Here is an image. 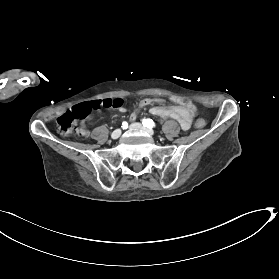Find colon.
<instances>
[{
	"mask_svg": "<svg viewBox=\"0 0 279 279\" xmlns=\"http://www.w3.org/2000/svg\"><path fill=\"white\" fill-rule=\"evenodd\" d=\"M180 103L191 113L198 112V105L192 99L188 97H178ZM123 104L121 98H105L94 100L91 102H83L75 105L70 110L60 115L57 119L58 130L61 134L69 135L74 132H78L79 128L77 123L84 119V117L93 109L100 108H116ZM197 128H204L206 126V120L198 118L195 122Z\"/></svg>",
	"mask_w": 279,
	"mask_h": 279,
	"instance_id": "5ec220e1",
	"label": "colon"
}]
</instances>
